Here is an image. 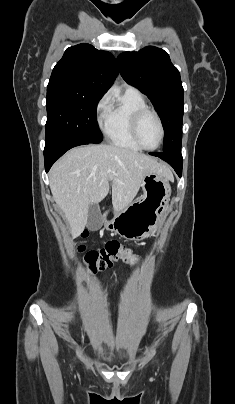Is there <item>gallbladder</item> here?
I'll return each mask as SVG.
<instances>
[{"mask_svg":"<svg viewBox=\"0 0 235 404\" xmlns=\"http://www.w3.org/2000/svg\"><path fill=\"white\" fill-rule=\"evenodd\" d=\"M103 217L97 204H91L88 211L87 228L97 231L102 227Z\"/></svg>","mask_w":235,"mask_h":404,"instance_id":"bac80fb5","label":"gallbladder"}]
</instances>
